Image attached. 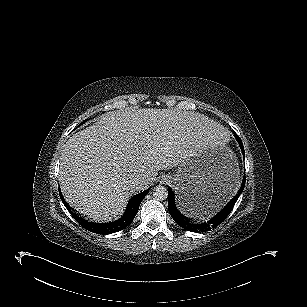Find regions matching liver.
Returning <instances> with one entry per match:
<instances>
[{
    "mask_svg": "<svg viewBox=\"0 0 307 307\" xmlns=\"http://www.w3.org/2000/svg\"><path fill=\"white\" fill-rule=\"evenodd\" d=\"M223 135L216 122L193 112L138 108L106 113L66 142L59 171L62 194L92 221L116 219L159 170L179 165ZM135 178L145 182L133 188Z\"/></svg>",
    "mask_w": 307,
    "mask_h": 307,
    "instance_id": "1",
    "label": "liver"
}]
</instances>
